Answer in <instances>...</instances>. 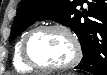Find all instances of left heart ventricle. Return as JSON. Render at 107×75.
I'll return each mask as SVG.
<instances>
[{"label": "left heart ventricle", "instance_id": "left-heart-ventricle-1", "mask_svg": "<svg viewBox=\"0 0 107 75\" xmlns=\"http://www.w3.org/2000/svg\"><path fill=\"white\" fill-rule=\"evenodd\" d=\"M28 53L39 64L57 66L73 57L70 40L58 31H43L34 35L28 44Z\"/></svg>", "mask_w": 107, "mask_h": 75}]
</instances>
